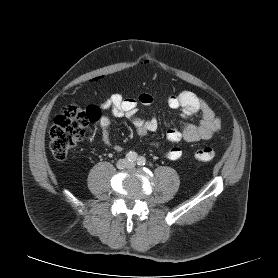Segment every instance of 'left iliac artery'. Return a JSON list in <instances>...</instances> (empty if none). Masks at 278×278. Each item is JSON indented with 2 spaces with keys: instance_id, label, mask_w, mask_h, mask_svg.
Segmentation results:
<instances>
[{
  "instance_id": "1",
  "label": "left iliac artery",
  "mask_w": 278,
  "mask_h": 278,
  "mask_svg": "<svg viewBox=\"0 0 278 278\" xmlns=\"http://www.w3.org/2000/svg\"><path fill=\"white\" fill-rule=\"evenodd\" d=\"M137 164L142 166V165H145L146 164V159L142 156H140L138 159H137Z\"/></svg>"
}]
</instances>
